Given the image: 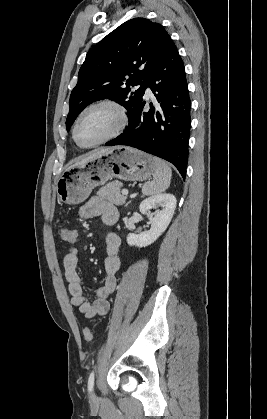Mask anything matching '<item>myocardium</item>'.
Wrapping results in <instances>:
<instances>
[{
  "label": "myocardium",
  "mask_w": 267,
  "mask_h": 419,
  "mask_svg": "<svg viewBox=\"0 0 267 419\" xmlns=\"http://www.w3.org/2000/svg\"><path fill=\"white\" fill-rule=\"evenodd\" d=\"M97 107H109L112 110L115 111L116 116H117V123L115 125V127L103 138H101L100 140L92 143V144H82L77 136V129H78V125L81 121V119L83 118V116L90 111L91 109L97 108ZM128 112L126 107L121 104L120 102L113 100V99H100L97 101H94L90 104H88L87 106H85L81 112L79 113V115L77 116L74 126H73V139L76 142V144L81 147V148H94L96 146H99L101 144H104L112 139H114L115 137H117L118 135H120L122 133V131L125 129V127L128 124Z\"/></svg>",
  "instance_id": "obj_1"
}]
</instances>
